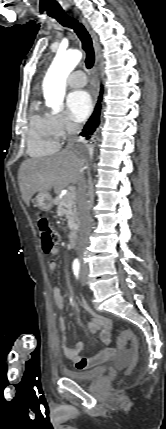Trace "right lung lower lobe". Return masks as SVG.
I'll list each match as a JSON object with an SVG mask.
<instances>
[{"instance_id":"1","label":"right lung lower lobe","mask_w":166,"mask_h":429,"mask_svg":"<svg viewBox=\"0 0 166 429\" xmlns=\"http://www.w3.org/2000/svg\"><path fill=\"white\" fill-rule=\"evenodd\" d=\"M101 100H102V90H101V95L98 99V103L96 104V107H95V110H94L92 116L90 117L89 121L86 123L82 132L80 133V135L85 137L87 140L92 138V136L94 135V133L96 131V128L99 125V118H100V111H101V104H100Z\"/></svg>"}]
</instances>
